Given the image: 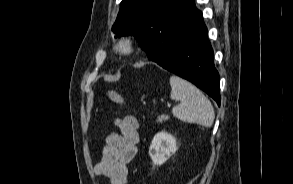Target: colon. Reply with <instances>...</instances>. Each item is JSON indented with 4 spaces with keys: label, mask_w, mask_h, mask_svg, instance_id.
Segmentation results:
<instances>
[{
    "label": "colon",
    "mask_w": 293,
    "mask_h": 184,
    "mask_svg": "<svg viewBox=\"0 0 293 184\" xmlns=\"http://www.w3.org/2000/svg\"><path fill=\"white\" fill-rule=\"evenodd\" d=\"M106 95L115 104H118V105H121V106H125L126 105V100L117 91H115L113 89H109V90H107Z\"/></svg>",
    "instance_id": "obj_1"
}]
</instances>
